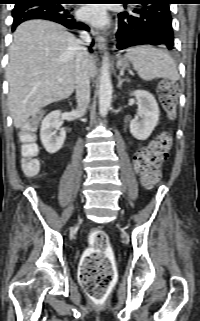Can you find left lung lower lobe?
I'll use <instances>...</instances> for the list:
<instances>
[{
  "instance_id": "left-lung-lower-lobe-1",
  "label": "left lung lower lobe",
  "mask_w": 200,
  "mask_h": 321,
  "mask_svg": "<svg viewBox=\"0 0 200 321\" xmlns=\"http://www.w3.org/2000/svg\"><path fill=\"white\" fill-rule=\"evenodd\" d=\"M173 0H128L132 11L118 14L116 51L136 45H165L173 49L174 37L169 5Z\"/></svg>"
}]
</instances>
